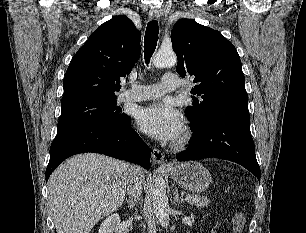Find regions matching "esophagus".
<instances>
[{
	"label": "esophagus",
	"mask_w": 306,
	"mask_h": 233,
	"mask_svg": "<svg viewBox=\"0 0 306 233\" xmlns=\"http://www.w3.org/2000/svg\"><path fill=\"white\" fill-rule=\"evenodd\" d=\"M149 17L151 20H158L160 18V12L157 8H151L149 10ZM152 157L156 164L160 165L161 167H168L169 165L164 161V154L159 150L154 148L152 151Z\"/></svg>",
	"instance_id": "34e87169"
}]
</instances>
